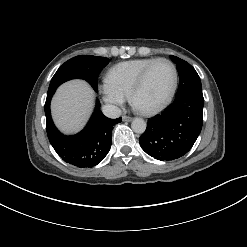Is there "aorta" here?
<instances>
[{
	"instance_id": "obj_1",
	"label": "aorta",
	"mask_w": 247,
	"mask_h": 247,
	"mask_svg": "<svg viewBox=\"0 0 247 247\" xmlns=\"http://www.w3.org/2000/svg\"><path fill=\"white\" fill-rule=\"evenodd\" d=\"M131 127L135 133L142 134L146 129V122L142 118H135Z\"/></svg>"
}]
</instances>
